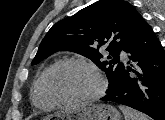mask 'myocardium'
<instances>
[{
	"label": "myocardium",
	"mask_w": 165,
	"mask_h": 120,
	"mask_svg": "<svg viewBox=\"0 0 165 120\" xmlns=\"http://www.w3.org/2000/svg\"><path fill=\"white\" fill-rule=\"evenodd\" d=\"M69 64H79L87 67L90 69L96 76L98 80V87L97 89L86 96L83 97H78V98H73V99H67V98H62L58 96L55 91L52 88L51 85V80L54 75V73L62 66L64 65H69ZM44 85L45 89L48 93V95L51 97L52 100H54L56 103H61V104H80V103H88V102H93L97 99H99L105 92L106 90V81L100 72V70L96 67L95 64L92 62L83 59V58H77V57H69V58H64L61 59L57 62H55L47 71L44 79Z\"/></svg>",
	"instance_id": "f54148a6"
}]
</instances>
